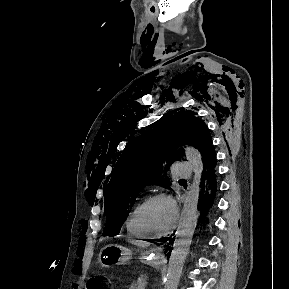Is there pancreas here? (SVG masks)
Wrapping results in <instances>:
<instances>
[{
	"label": "pancreas",
	"instance_id": "pancreas-1",
	"mask_svg": "<svg viewBox=\"0 0 289 289\" xmlns=\"http://www.w3.org/2000/svg\"><path fill=\"white\" fill-rule=\"evenodd\" d=\"M146 282L147 277L142 275L136 282H134V284H132L131 289H144Z\"/></svg>",
	"mask_w": 289,
	"mask_h": 289
}]
</instances>
